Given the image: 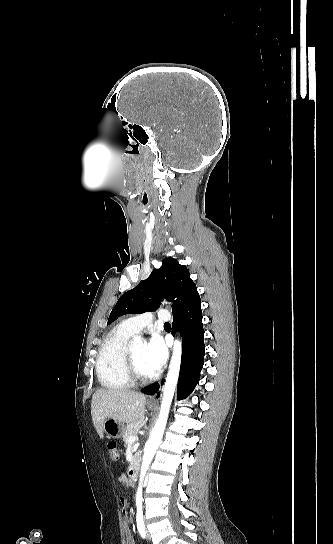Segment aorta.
Masks as SVG:
<instances>
[{"mask_svg": "<svg viewBox=\"0 0 333 544\" xmlns=\"http://www.w3.org/2000/svg\"><path fill=\"white\" fill-rule=\"evenodd\" d=\"M142 345V338L140 336H134L131 340L132 347H138ZM181 355H182V343L179 340L174 342L172 357L169 365V370L164 386L162 402L160 413L158 419L151 431V435L145 444L144 454L142 458V465L140 471V482L137 488L136 493V505L138 507L142 506V488H143V479L146 475L147 470L153 460V457L161 443L165 426L167 423L171 403L175 393L176 384L178 381V376L180 372L181 365Z\"/></svg>", "mask_w": 333, "mask_h": 544, "instance_id": "1", "label": "aorta"}]
</instances>
